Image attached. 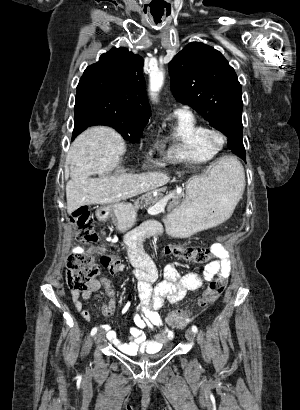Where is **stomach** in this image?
Returning <instances> with one entry per match:
<instances>
[{"instance_id":"obj_1","label":"stomach","mask_w":300,"mask_h":410,"mask_svg":"<svg viewBox=\"0 0 300 410\" xmlns=\"http://www.w3.org/2000/svg\"><path fill=\"white\" fill-rule=\"evenodd\" d=\"M234 177L232 169L224 170L218 164L207 174L192 177L187 182L184 201L167 216L168 234L185 238L225 222L238 202ZM98 214L111 217L122 232L136 220V210L130 203H114Z\"/></svg>"}]
</instances>
